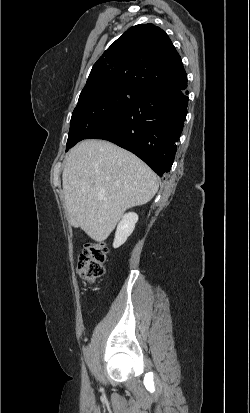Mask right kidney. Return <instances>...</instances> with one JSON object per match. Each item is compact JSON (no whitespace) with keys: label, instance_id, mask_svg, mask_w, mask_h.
<instances>
[{"label":"right kidney","instance_id":"ca27d5eb","mask_svg":"<svg viewBox=\"0 0 250 413\" xmlns=\"http://www.w3.org/2000/svg\"><path fill=\"white\" fill-rule=\"evenodd\" d=\"M138 221V215L134 212H129L122 217L119 222L113 242V247L118 248L124 244L127 238L132 234L135 224Z\"/></svg>","mask_w":250,"mask_h":413}]
</instances>
